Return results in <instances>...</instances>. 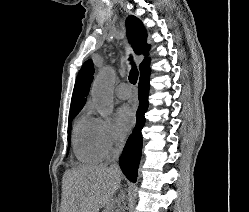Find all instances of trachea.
I'll return each mask as SVG.
<instances>
[{"instance_id":"trachea-1","label":"trachea","mask_w":249,"mask_h":212,"mask_svg":"<svg viewBox=\"0 0 249 212\" xmlns=\"http://www.w3.org/2000/svg\"><path fill=\"white\" fill-rule=\"evenodd\" d=\"M128 79H129V82L132 83L133 85L136 84L137 79H138V70L135 66L130 71Z\"/></svg>"}]
</instances>
